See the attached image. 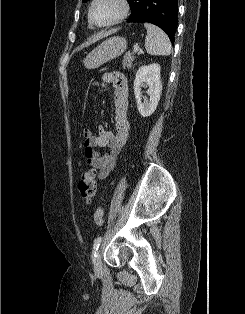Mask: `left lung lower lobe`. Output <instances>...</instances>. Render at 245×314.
<instances>
[{
  "label": "left lung lower lobe",
  "instance_id": "left-lung-lower-lobe-1",
  "mask_svg": "<svg viewBox=\"0 0 245 314\" xmlns=\"http://www.w3.org/2000/svg\"><path fill=\"white\" fill-rule=\"evenodd\" d=\"M177 0H143L139 12L128 18V22H148L163 29L174 43L177 29Z\"/></svg>",
  "mask_w": 245,
  "mask_h": 314
}]
</instances>
